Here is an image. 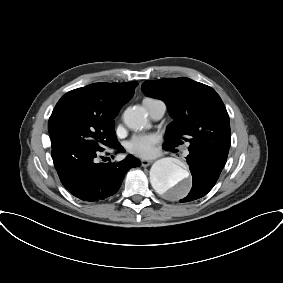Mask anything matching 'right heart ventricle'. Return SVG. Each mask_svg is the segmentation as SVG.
I'll return each instance as SVG.
<instances>
[{
	"label": "right heart ventricle",
	"instance_id": "right-heart-ventricle-1",
	"mask_svg": "<svg viewBox=\"0 0 283 283\" xmlns=\"http://www.w3.org/2000/svg\"><path fill=\"white\" fill-rule=\"evenodd\" d=\"M151 100H154V99H151V98H145V99H144L145 102H149V101H151Z\"/></svg>",
	"mask_w": 283,
	"mask_h": 283
}]
</instances>
